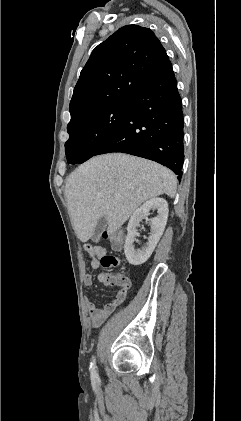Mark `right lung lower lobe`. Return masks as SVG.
<instances>
[{
    "instance_id": "1",
    "label": "right lung lower lobe",
    "mask_w": 241,
    "mask_h": 421,
    "mask_svg": "<svg viewBox=\"0 0 241 421\" xmlns=\"http://www.w3.org/2000/svg\"><path fill=\"white\" fill-rule=\"evenodd\" d=\"M169 59L128 100L124 122L96 155L122 152L167 166L178 179L184 160L183 112Z\"/></svg>"
}]
</instances>
